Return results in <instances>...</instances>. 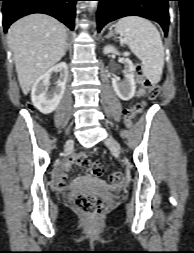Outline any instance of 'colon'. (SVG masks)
I'll return each instance as SVG.
<instances>
[{
	"instance_id": "obj_1",
	"label": "colon",
	"mask_w": 194,
	"mask_h": 253,
	"mask_svg": "<svg viewBox=\"0 0 194 253\" xmlns=\"http://www.w3.org/2000/svg\"><path fill=\"white\" fill-rule=\"evenodd\" d=\"M138 79H140L143 87L146 89L147 97L149 100H154L157 98L160 92V88L157 84L152 83L151 78H144L141 66L137 65L135 69ZM146 106V102H139L133 107L124 109V119L123 125H132L134 122V117L140 114ZM74 162L82 167H85L87 172L93 176H101L103 173V166L97 160H92L85 153H77L73 157ZM123 180V175L121 172H113L109 176L110 183L117 185ZM75 206L82 212L97 215L103 211L104 203L101 199L95 197H88L85 195H78L75 198Z\"/></svg>"
}]
</instances>
